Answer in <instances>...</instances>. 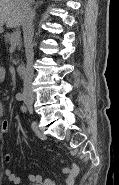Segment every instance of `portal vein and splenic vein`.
Instances as JSON below:
<instances>
[{
  "label": "portal vein and splenic vein",
  "mask_w": 119,
  "mask_h": 185,
  "mask_svg": "<svg viewBox=\"0 0 119 185\" xmlns=\"http://www.w3.org/2000/svg\"><path fill=\"white\" fill-rule=\"evenodd\" d=\"M19 41H20V33L19 32L13 33L11 40H10L11 46L17 45Z\"/></svg>",
  "instance_id": "obj_1"
}]
</instances>
